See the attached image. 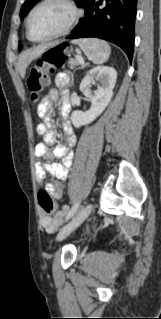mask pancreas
<instances>
[{
	"label": "pancreas",
	"mask_w": 161,
	"mask_h": 319,
	"mask_svg": "<svg viewBox=\"0 0 161 319\" xmlns=\"http://www.w3.org/2000/svg\"><path fill=\"white\" fill-rule=\"evenodd\" d=\"M80 63H79V61L78 60H76V59H71L70 61H69V67H70V69H74L76 66H78Z\"/></svg>",
	"instance_id": "obj_1"
}]
</instances>
